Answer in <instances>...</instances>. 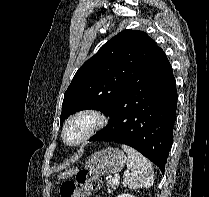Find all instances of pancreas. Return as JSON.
<instances>
[{
	"instance_id": "obj_1",
	"label": "pancreas",
	"mask_w": 209,
	"mask_h": 197,
	"mask_svg": "<svg viewBox=\"0 0 209 197\" xmlns=\"http://www.w3.org/2000/svg\"><path fill=\"white\" fill-rule=\"evenodd\" d=\"M107 187L108 193H112L118 187V183L109 182Z\"/></svg>"
}]
</instances>
